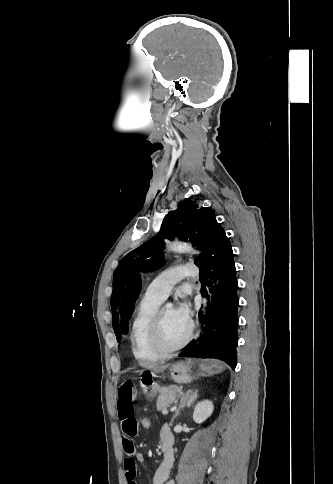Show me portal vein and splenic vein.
I'll use <instances>...</instances> for the list:
<instances>
[{
  "label": "portal vein and splenic vein",
  "mask_w": 333,
  "mask_h": 484,
  "mask_svg": "<svg viewBox=\"0 0 333 484\" xmlns=\"http://www.w3.org/2000/svg\"><path fill=\"white\" fill-rule=\"evenodd\" d=\"M174 409H176V406L174 407ZM167 413H168V411H164V412H163V414H167Z\"/></svg>",
  "instance_id": "obj_1"
}]
</instances>
